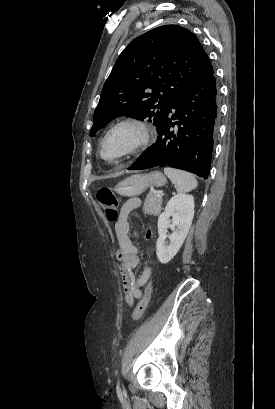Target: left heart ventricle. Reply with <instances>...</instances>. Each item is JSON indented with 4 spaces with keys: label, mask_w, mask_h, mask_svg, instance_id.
<instances>
[{
    "label": "left heart ventricle",
    "mask_w": 275,
    "mask_h": 409,
    "mask_svg": "<svg viewBox=\"0 0 275 409\" xmlns=\"http://www.w3.org/2000/svg\"><path fill=\"white\" fill-rule=\"evenodd\" d=\"M134 134L130 130H122L114 134L104 147V154L113 157L121 153L133 140Z\"/></svg>",
    "instance_id": "left-heart-ventricle-1"
}]
</instances>
